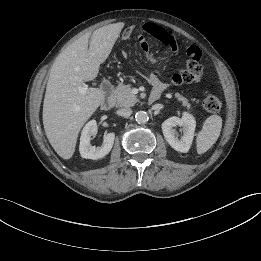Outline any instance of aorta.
<instances>
[{
  "mask_svg": "<svg viewBox=\"0 0 261 261\" xmlns=\"http://www.w3.org/2000/svg\"><path fill=\"white\" fill-rule=\"evenodd\" d=\"M148 114L145 111H138L135 114V120L138 124H145L148 122Z\"/></svg>",
  "mask_w": 261,
  "mask_h": 261,
  "instance_id": "762f6f07",
  "label": "aorta"
}]
</instances>
